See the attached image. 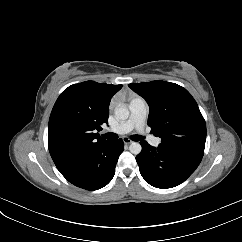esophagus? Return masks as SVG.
<instances>
[{"label":"esophagus","instance_id":"1","mask_svg":"<svg viewBox=\"0 0 242 242\" xmlns=\"http://www.w3.org/2000/svg\"><path fill=\"white\" fill-rule=\"evenodd\" d=\"M123 142L125 143V144H131L132 143V140H130L129 138H123Z\"/></svg>","mask_w":242,"mask_h":242}]
</instances>
